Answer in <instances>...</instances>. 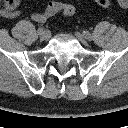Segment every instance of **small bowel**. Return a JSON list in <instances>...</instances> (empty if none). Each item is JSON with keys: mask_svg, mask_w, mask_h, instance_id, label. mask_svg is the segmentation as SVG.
Segmentation results:
<instances>
[{"mask_svg": "<svg viewBox=\"0 0 128 128\" xmlns=\"http://www.w3.org/2000/svg\"><path fill=\"white\" fill-rule=\"evenodd\" d=\"M65 6V3L60 2V1H50L48 2L46 8L42 12H34L31 15L32 20L38 23H44L46 22L49 18L54 16L55 14L61 12ZM0 13L8 18H15L19 15L18 12H5L0 10Z\"/></svg>", "mask_w": 128, "mask_h": 128, "instance_id": "1", "label": "small bowel"}]
</instances>
